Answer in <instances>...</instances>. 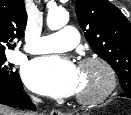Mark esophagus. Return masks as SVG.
<instances>
[{
    "label": "esophagus",
    "mask_w": 131,
    "mask_h": 115,
    "mask_svg": "<svg viewBox=\"0 0 131 115\" xmlns=\"http://www.w3.org/2000/svg\"><path fill=\"white\" fill-rule=\"evenodd\" d=\"M50 114L51 115H62L61 111L58 109H53Z\"/></svg>",
    "instance_id": "34e87169"
}]
</instances>
